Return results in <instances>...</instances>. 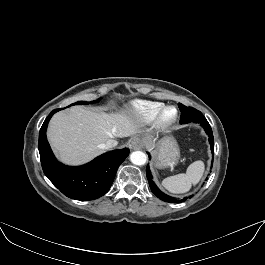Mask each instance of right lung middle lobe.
<instances>
[{
  "instance_id": "1",
  "label": "right lung middle lobe",
  "mask_w": 265,
  "mask_h": 265,
  "mask_svg": "<svg viewBox=\"0 0 265 265\" xmlns=\"http://www.w3.org/2000/svg\"><path fill=\"white\" fill-rule=\"evenodd\" d=\"M98 101H99V99L96 100V101H91L90 103H96V102H98ZM83 104H89V102H86V101H79V102H76V103L71 104L70 106H72V105H83Z\"/></svg>"
}]
</instances>
